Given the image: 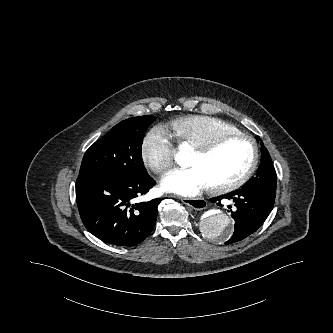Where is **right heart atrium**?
<instances>
[{"label":"right heart atrium","instance_id":"d8ad5b80","mask_svg":"<svg viewBox=\"0 0 333 333\" xmlns=\"http://www.w3.org/2000/svg\"><path fill=\"white\" fill-rule=\"evenodd\" d=\"M141 159L152 172L163 175L174 164L175 149L162 126L153 127L143 138L140 147Z\"/></svg>","mask_w":333,"mask_h":333}]
</instances>
